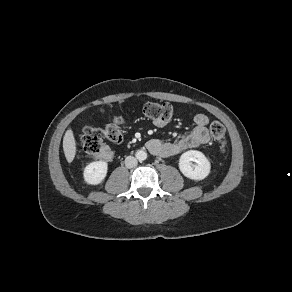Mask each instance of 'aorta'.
Wrapping results in <instances>:
<instances>
[{"label": "aorta", "instance_id": "aorta-1", "mask_svg": "<svg viewBox=\"0 0 292 292\" xmlns=\"http://www.w3.org/2000/svg\"><path fill=\"white\" fill-rule=\"evenodd\" d=\"M136 158H137L139 161H144V160H146V158H147V153H146V151L143 150V149L137 150V152H136Z\"/></svg>", "mask_w": 292, "mask_h": 292}]
</instances>
